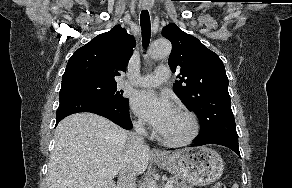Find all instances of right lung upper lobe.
I'll use <instances>...</instances> for the list:
<instances>
[{"mask_svg": "<svg viewBox=\"0 0 292 188\" xmlns=\"http://www.w3.org/2000/svg\"><path fill=\"white\" fill-rule=\"evenodd\" d=\"M134 46V38L116 25L76 50L67 63L62 80L88 77L115 81V76L126 71Z\"/></svg>", "mask_w": 292, "mask_h": 188, "instance_id": "obj_1", "label": "right lung upper lobe"}]
</instances>
